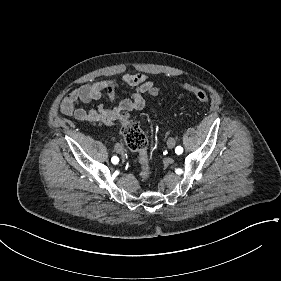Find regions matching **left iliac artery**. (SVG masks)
<instances>
[{
	"mask_svg": "<svg viewBox=\"0 0 281 281\" xmlns=\"http://www.w3.org/2000/svg\"><path fill=\"white\" fill-rule=\"evenodd\" d=\"M175 152L177 154H181L183 152V148L181 146H177L176 149H175Z\"/></svg>",
	"mask_w": 281,
	"mask_h": 281,
	"instance_id": "44dca946",
	"label": "left iliac artery"
}]
</instances>
